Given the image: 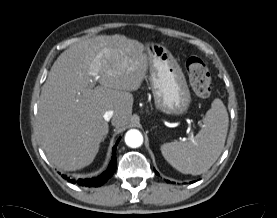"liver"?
<instances>
[{
	"label": "liver",
	"instance_id": "liver-1",
	"mask_svg": "<svg viewBox=\"0 0 277 218\" xmlns=\"http://www.w3.org/2000/svg\"><path fill=\"white\" fill-rule=\"evenodd\" d=\"M146 47L125 36L101 35L70 46L54 62L42 86L37 134L51 163L64 171L90 165L112 125L124 127L132 115L133 95L148 69ZM97 70L100 85L90 87Z\"/></svg>",
	"mask_w": 277,
	"mask_h": 218
}]
</instances>
